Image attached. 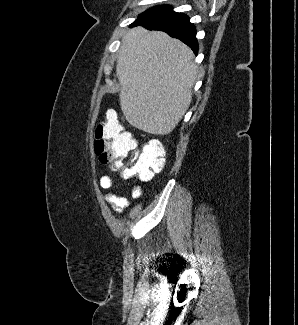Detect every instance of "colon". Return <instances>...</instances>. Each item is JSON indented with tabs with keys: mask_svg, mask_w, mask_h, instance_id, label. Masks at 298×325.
Segmentation results:
<instances>
[{
	"mask_svg": "<svg viewBox=\"0 0 298 325\" xmlns=\"http://www.w3.org/2000/svg\"><path fill=\"white\" fill-rule=\"evenodd\" d=\"M158 152H155V149ZM95 151L109 171L124 181L147 182L162 171L165 158L161 147L151 143L143 151L115 111H107L95 130Z\"/></svg>",
	"mask_w": 298,
	"mask_h": 325,
	"instance_id": "colon-1",
	"label": "colon"
}]
</instances>
